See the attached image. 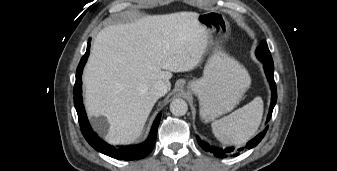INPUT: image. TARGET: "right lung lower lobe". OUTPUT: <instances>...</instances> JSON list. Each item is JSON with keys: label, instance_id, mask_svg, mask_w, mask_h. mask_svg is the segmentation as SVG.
Listing matches in <instances>:
<instances>
[{"label": "right lung lower lobe", "instance_id": "1", "mask_svg": "<svg viewBox=\"0 0 337 171\" xmlns=\"http://www.w3.org/2000/svg\"><path fill=\"white\" fill-rule=\"evenodd\" d=\"M89 47H90V43L87 44L86 53L81 58L80 63L78 65V68L76 71V82L74 86V105H75V108L78 114L79 124H80L81 131L83 133V136L93 148H95L97 151L105 155H108L112 158L119 159V160H128V161L142 159L146 157L154 148L161 114H159L156 117L148 139L142 144L135 145V146H123V147L117 148L101 140L93 132L92 128L90 127V124L88 122V119H87V116L84 110V106L81 102V99H82L81 74H82L83 67L89 55Z\"/></svg>", "mask_w": 337, "mask_h": 171}]
</instances>
